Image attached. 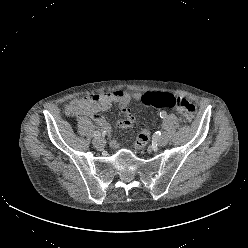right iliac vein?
<instances>
[{
  "label": "right iliac vein",
  "mask_w": 248,
  "mask_h": 248,
  "mask_svg": "<svg viewBox=\"0 0 248 248\" xmlns=\"http://www.w3.org/2000/svg\"><path fill=\"white\" fill-rule=\"evenodd\" d=\"M93 144L96 148L101 149L104 147L105 141L101 137H98L93 140Z\"/></svg>",
  "instance_id": "1"
}]
</instances>
